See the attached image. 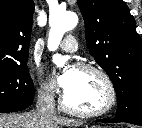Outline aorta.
Here are the masks:
<instances>
[{
    "instance_id": "aorta-1",
    "label": "aorta",
    "mask_w": 142,
    "mask_h": 128,
    "mask_svg": "<svg viewBox=\"0 0 142 128\" xmlns=\"http://www.w3.org/2000/svg\"><path fill=\"white\" fill-rule=\"evenodd\" d=\"M78 23V16L71 11H58L50 14L49 24L50 31L48 37L47 47L50 51L56 50L63 38V35L72 30ZM53 62L59 67L63 66L66 58L61 55H55Z\"/></svg>"
}]
</instances>
